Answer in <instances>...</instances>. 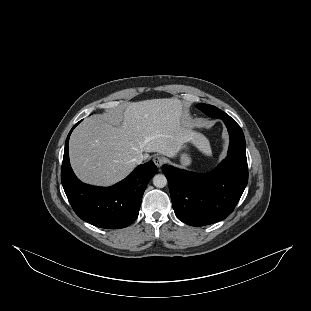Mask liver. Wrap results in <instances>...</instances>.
<instances>
[{
  "label": "liver",
  "mask_w": 311,
  "mask_h": 311,
  "mask_svg": "<svg viewBox=\"0 0 311 311\" xmlns=\"http://www.w3.org/2000/svg\"><path fill=\"white\" fill-rule=\"evenodd\" d=\"M182 120V103L177 98L151 99L129 103L114 117L113 124L86 118L69 142L71 166L88 184L111 186L123 180L137 164L138 155L148 158L157 152L175 157L188 142L199 149L210 144L201 133Z\"/></svg>",
  "instance_id": "1"
}]
</instances>
